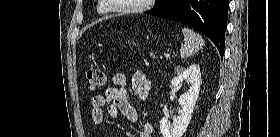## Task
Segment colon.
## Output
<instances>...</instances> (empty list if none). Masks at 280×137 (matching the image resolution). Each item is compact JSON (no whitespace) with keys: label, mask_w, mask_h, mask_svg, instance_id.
<instances>
[{"label":"colon","mask_w":280,"mask_h":137,"mask_svg":"<svg viewBox=\"0 0 280 137\" xmlns=\"http://www.w3.org/2000/svg\"><path fill=\"white\" fill-rule=\"evenodd\" d=\"M106 81L105 73L100 68H92L86 72V86L90 91L99 90Z\"/></svg>","instance_id":"1"}]
</instances>
